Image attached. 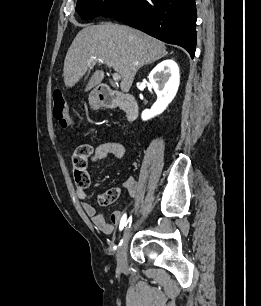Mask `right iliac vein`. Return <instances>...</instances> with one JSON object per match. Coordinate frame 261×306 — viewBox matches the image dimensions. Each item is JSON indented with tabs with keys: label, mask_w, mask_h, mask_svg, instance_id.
Masks as SVG:
<instances>
[{
	"label": "right iliac vein",
	"mask_w": 261,
	"mask_h": 306,
	"mask_svg": "<svg viewBox=\"0 0 261 306\" xmlns=\"http://www.w3.org/2000/svg\"><path fill=\"white\" fill-rule=\"evenodd\" d=\"M130 236H131V229H125L117 254V264L118 268L121 271L127 270V248Z\"/></svg>",
	"instance_id": "63e3f726"
}]
</instances>
